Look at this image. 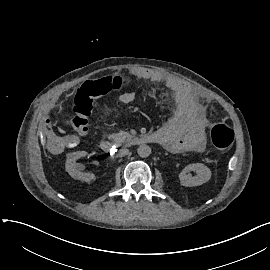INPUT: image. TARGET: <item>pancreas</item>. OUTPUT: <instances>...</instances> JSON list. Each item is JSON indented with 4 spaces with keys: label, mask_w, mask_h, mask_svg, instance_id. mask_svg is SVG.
<instances>
[{
    "label": "pancreas",
    "mask_w": 270,
    "mask_h": 270,
    "mask_svg": "<svg viewBox=\"0 0 270 270\" xmlns=\"http://www.w3.org/2000/svg\"><path fill=\"white\" fill-rule=\"evenodd\" d=\"M128 137H130V134L124 131H120L119 133H113L109 135V139H113L117 143L124 142Z\"/></svg>",
    "instance_id": "1"
}]
</instances>
